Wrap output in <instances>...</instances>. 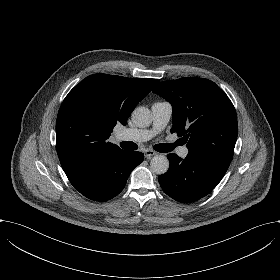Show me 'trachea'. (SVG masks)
Masks as SVG:
<instances>
[{
	"label": "trachea",
	"mask_w": 280,
	"mask_h": 280,
	"mask_svg": "<svg viewBox=\"0 0 280 280\" xmlns=\"http://www.w3.org/2000/svg\"><path fill=\"white\" fill-rule=\"evenodd\" d=\"M120 146L125 150H137V148H138V146L131 141L121 142ZM174 146H177V142L174 145H170L168 143L154 145V149L158 152L165 153V152H169V151L173 150Z\"/></svg>",
	"instance_id": "3493384b"
}]
</instances>
